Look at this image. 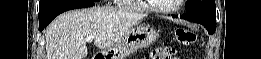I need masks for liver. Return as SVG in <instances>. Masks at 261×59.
Returning a JSON list of instances; mask_svg holds the SVG:
<instances>
[{
	"mask_svg": "<svg viewBox=\"0 0 261 59\" xmlns=\"http://www.w3.org/2000/svg\"><path fill=\"white\" fill-rule=\"evenodd\" d=\"M143 14L111 7H93L61 14L45 30L47 59H85L86 37L108 49L125 36Z\"/></svg>",
	"mask_w": 261,
	"mask_h": 59,
	"instance_id": "1",
	"label": "liver"
}]
</instances>
